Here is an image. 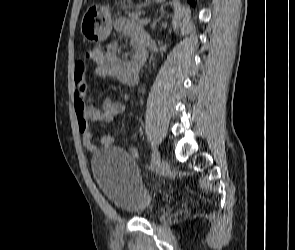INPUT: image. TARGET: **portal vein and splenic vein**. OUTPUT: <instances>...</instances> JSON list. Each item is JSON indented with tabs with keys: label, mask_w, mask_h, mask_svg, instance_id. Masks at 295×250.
I'll return each instance as SVG.
<instances>
[{
	"label": "portal vein and splenic vein",
	"mask_w": 295,
	"mask_h": 250,
	"mask_svg": "<svg viewBox=\"0 0 295 250\" xmlns=\"http://www.w3.org/2000/svg\"><path fill=\"white\" fill-rule=\"evenodd\" d=\"M149 22H150V19H148V18L141 20V24H143V25H147Z\"/></svg>",
	"instance_id": "portal-vein-and-splenic-vein-1"
}]
</instances>
